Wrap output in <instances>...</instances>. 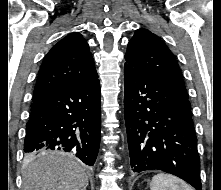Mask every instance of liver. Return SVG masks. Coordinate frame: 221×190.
<instances>
[{"label":"liver","instance_id":"liver-1","mask_svg":"<svg viewBox=\"0 0 221 190\" xmlns=\"http://www.w3.org/2000/svg\"><path fill=\"white\" fill-rule=\"evenodd\" d=\"M54 154V153H50ZM23 190H82L88 185L85 169L69 155L24 160Z\"/></svg>","mask_w":221,"mask_h":190}]
</instances>
